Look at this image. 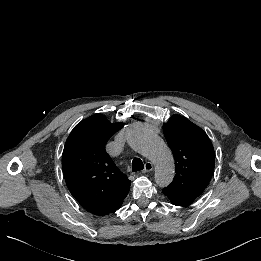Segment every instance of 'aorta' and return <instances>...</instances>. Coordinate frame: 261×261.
I'll use <instances>...</instances> for the list:
<instances>
[{"label": "aorta", "instance_id": "aorta-1", "mask_svg": "<svg viewBox=\"0 0 261 261\" xmlns=\"http://www.w3.org/2000/svg\"><path fill=\"white\" fill-rule=\"evenodd\" d=\"M130 147L155 165V181L165 187L174 177V160L165 142L152 131L136 126L128 130Z\"/></svg>", "mask_w": 261, "mask_h": 261}]
</instances>
